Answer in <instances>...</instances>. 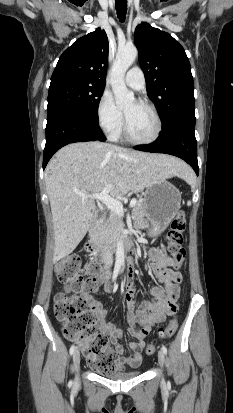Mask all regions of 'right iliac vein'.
<instances>
[{
  "label": "right iliac vein",
  "instance_id": "63e3f726",
  "mask_svg": "<svg viewBox=\"0 0 233 413\" xmlns=\"http://www.w3.org/2000/svg\"><path fill=\"white\" fill-rule=\"evenodd\" d=\"M73 362H74V367L76 370V378H75V382L77 383L79 381V376H78V372H79V368H80V352L77 349L74 354H73Z\"/></svg>",
  "mask_w": 233,
  "mask_h": 413
}]
</instances>
